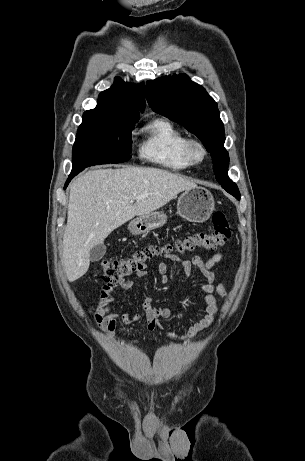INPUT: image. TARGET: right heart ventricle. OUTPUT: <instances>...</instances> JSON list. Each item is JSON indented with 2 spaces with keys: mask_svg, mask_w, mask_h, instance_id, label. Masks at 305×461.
<instances>
[{
  "mask_svg": "<svg viewBox=\"0 0 305 461\" xmlns=\"http://www.w3.org/2000/svg\"><path fill=\"white\" fill-rule=\"evenodd\" d=\"M139 153L142 158L172 171L187 169L191 163L185 155L187 135L171 121L156 118L144 129Z\"/></svg>",
  "mask_w": 305,
  "mask_h": 461,
  "instance_id": "obj_1",
  "label": "right heart ventricle"
}]
</instances>
